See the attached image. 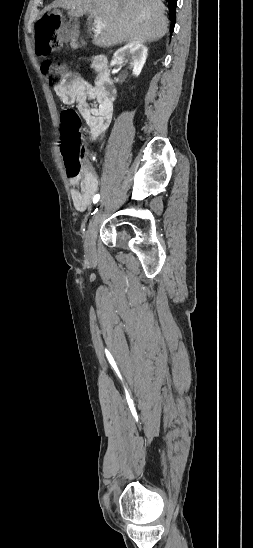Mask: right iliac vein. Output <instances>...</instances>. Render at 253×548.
Instances as JSON below:
<instances>
[{
	"mask_svg": "<svg viewBox=\"0 0 253 548\" xmlns=\"http://www.w3.org/2000/svg\"><path fill=\"white\" fill-rule=\"evenodd\" d=\"M101 220V213L97 211L93 216L90 225L88 227L86 238H85V253L89 260H94L96 258V237L99 229V224Z\"/></svg>",
	"mask_w": 253,
	"mask_h": 548,
	"instance_id": "obj_1",
	"label": "right iliac vein"
}]
</instances>
